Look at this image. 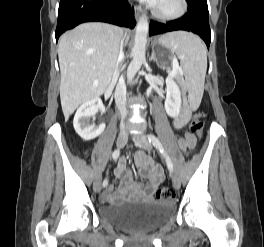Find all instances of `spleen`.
Wrapping results in <instances>:
<instances>
[{
    "label": "spleen",
    "mask_w": 264,
    "mask_h": 247,
    "mask_svg": "<svg viewBox=\"0 0 264 247\" xmlns=\"http://www.w3.org/2000/svg\"><path fill=\"white\" fill-rule=\"evenodd\" d=\"M159 40L180 59L189 97L197 103L200 102L207 70L205 45L198 36L185 31L163 35Z\"/></svg>",
    "instance_id": "spleen-1"
}]
</instances>
